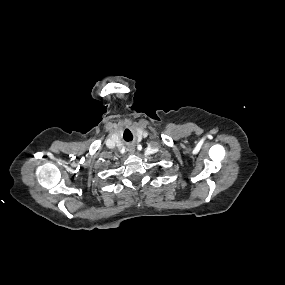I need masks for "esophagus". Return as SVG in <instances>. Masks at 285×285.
Wrapping results in <instances>:
<instances>
[{
  "instance_id": "1",
  "label": "esophagus",
  "mask_w": 285,
  "mask_h": 285,
  "mask_svg": "<svg viewBox=\"0 0 285 285\" xmlns=\"http://www.w3.org/2000/svg\"><path fill=\"white\" fill-rule=\"evenodd\" d=\"M134 148H135V147H134L133 144L129 145V147H128V149H129L130 152H133V151H134Z\"/></svg>"
}]
</instances>
